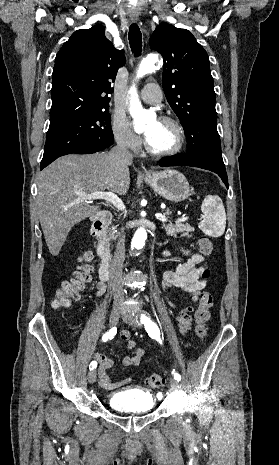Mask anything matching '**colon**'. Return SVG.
I'll return each instance as SVG.
<instances>
[{
	"label": "colon",
	"mask_w": 279,
	"mask_h": 465,
	"mask_svg": "<svg viewBox=\"0 0 279 465\" xmlns=\"http://www.w3.org/2000/svg\"><path fill=\"white\" fill-rule=\"evenodd\" d=\"M199 252L204 256H210L215 250L213 242L203 236L198 241ZM92 253L84 252L79 258V264L69 279L62 281L56 292L53 306L55 308L68 307L72 302L79 300L81 294L86 290L87 285L92 279ZM210 272L208 269L203 271V277L207 278ZM213 305V297L210 292L203 291L198 298V308L195 310L194 317L196 321L195 334L203 340L208 332L207 321L209 320V309ZM147 385L151 388H158L164 383V377L154 373L147 377Z\"/></svg>",
	"instance_id": "1"
}]
</instances>
